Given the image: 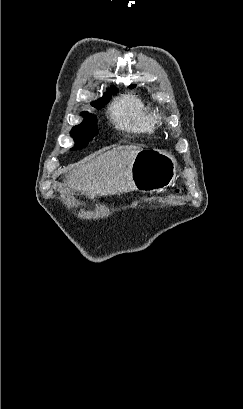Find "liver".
<instances>
[{"label": "liver", "instance_id": "obj_1", "mask_svg": "<svg viewBox=\"0 0 243 409\" xmlns=\"http://www.w3.org/2000/svg\"><path fill=\"white\" fill-rule=\"evenodd\" d=\"M140 147L125 145L113 148L93 159L69 167V188L91 199L134 190L132 163Z\"/></svg>", "mask_w": 243, "mask_h": 409}]
</instances>
